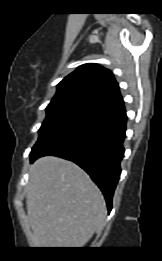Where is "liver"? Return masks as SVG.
<instances>
[{
	"label": "liver",
	"instance_id": "6515ba94",
	"mask_svg": "<svg viewBox=\"0 0 162 261\" xmlns=\"http://www.w3.org/2000/svg\"><path fill=\"white\" fill-rule=\"evenodd\" d=\"M27 215L35 246L80 248L103 225L104 198L74 163L46 156L30 168Z\"/></svg>",
	"mask_w": 162,
	"mask_h": 261
}]
</instances>
